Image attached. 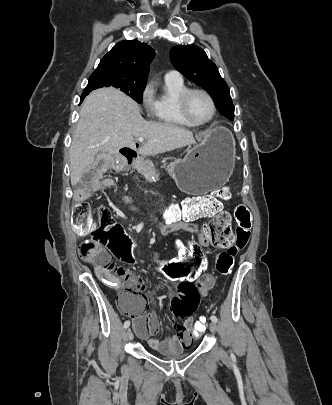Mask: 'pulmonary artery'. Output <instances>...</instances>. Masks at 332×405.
Listing matches in <instances>:
<instances>
[{
	"instance_id": "e3ab8cb5",
	"label": "pulmonary artery",
	"mask_w": 332,
	"mask_h": 405,
	"mask_svg": "<svg viewBox=\"0 0 332 405\" xmlns=\"http://www.w3.org/2000/svg\"><path fill=\"white\" fill-rule=\"evenodd\" d=\"M165 78H166V79H175V80H180V79H182L180 73H179L178 71H175V70L168 71V72L165 74Z\"/></svg>"
}]
</instances>
